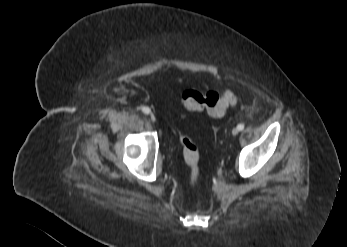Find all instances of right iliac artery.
<instances>
[{
    "instance_id": "1",
    "label": "right iliac artery",
    "mask_w": 347,
    "mask_h": 247,
    "mask_svg": "<svg viewBox=\"0 0 347 247\" xmlns=\"http://www.w3.org/2000/svg\"><path fill=\"white\" fill-rule=\"evenodd\" d=\"M141 110H142V112L145 113V114L150 113V109H149L148 107H146V106H143V107L141 108Z\"/></svg>"
}]
</instances>
